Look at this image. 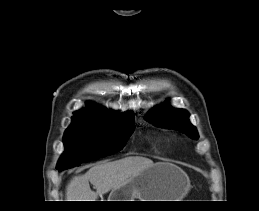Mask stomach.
<instances>
[{"mask_svg": "<svg viewBox=\"0 0 259 211\" xmlns=\"http://www.w3.org/2000/svg\"><path fill=\"white\" fill-rule=\"evenodd\" d=\"M189 180L170 163L159 162L112 189L110 201H179L186 195Z\"/></svg>", "mask_w": 259, "mask_h": 211, "instance_id": "stomach-1", "label": "stomach"}]
</instances>
